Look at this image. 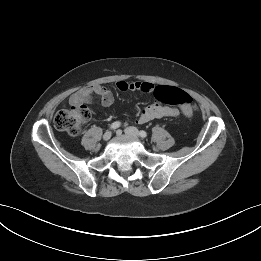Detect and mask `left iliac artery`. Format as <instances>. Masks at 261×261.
Instances as JSON below:
<instances>
[{
  "label": "left iliac artery",
  "instance_id": "1",
  "mask_svg": "<svg viewBox=\"0 0 261 261\" xmlns=\"http://www.w3.org/2000/svg\"><path fill=\"white\" fill-rule=\"evenodd\" d=\"M139 135H140L142 138H145V137H147V132L144 131V130H141V131L139 132Z\"/></svg>",
  "mask_w": 261,
  "mask_h": 261
}]
</instances>
